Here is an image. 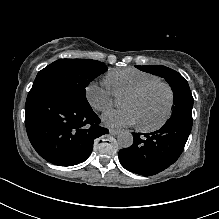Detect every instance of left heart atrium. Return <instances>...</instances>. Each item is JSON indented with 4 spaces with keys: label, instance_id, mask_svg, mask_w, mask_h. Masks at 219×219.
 <instances>
[{
    "label": "left heart atrium",
    "instance_id": "left-heart-atrium-1",
    "mask_svg": "<svg viewBox=\"0 0 219 219\" xmlns=\"http://www.w3.org/2000/svg\"><path fill=\"white\" fill-rule=\"evenodd\" d=\"M102 122L107 127H125L139 124L138 116L131 108L108 111L102 115Z\"/></svg>",
    "mask_w": 219,
    "mask_h": 219
}]
</instances>
